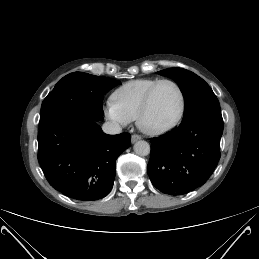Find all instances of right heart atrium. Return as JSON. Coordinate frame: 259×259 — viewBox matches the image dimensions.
I'll list each match as a JSON object with an SVG mask.
<instances>
[{
	"label": "right heart atrium",
	"instance_id": "obj_1",
	"mask_svg": "<svg viewBox=\"0 0 259 259\" xmlns=\"http://www.w3.org/2000/svg\"><path fill=\"white\" fill-rule=\"evenodd\" d=\"M104 112L107 119L115 124L126 125L130 122L112 99L106 101Z\"/></svg>",
	"mask_w": 259,
	"mask_h": 259
}]
</instances>
